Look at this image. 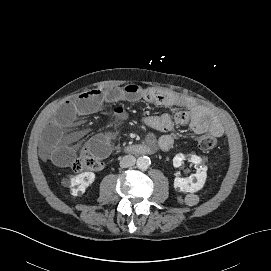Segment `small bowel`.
Segmentation results:
<instances>
[{
    "label": "small bowel",
    "instance_id": "1",
    "mask_svg": "<svg viewBox=\"0 0 271 271\" xmlns=\"http://www.w3.org/2000/svg\"><path fill=\"white\" fill-rule=\"evenodd\" d=\"M140 99L168 108L183 109L175 114L166 112L159 116H149L143 119L148 127L164 133L158 141L163 151L170 150L178 138V133L174 131L175 125H188L196 134L210 132L218 137L223 133L222 125L212 111L198 104L194 98L156 87L129 84L111 90H88L82 92L74 100L61 105L53 120L45 128L41 147L42 156L55 165L67 166L75 156V148L71 145L73 136L65 133L66 127L72 125L78 117L92 114L104 105H110L113 114L123 119L124 109L118 103ZM114 136L113 132L98 134L89 141V147L98 156L106 157L111 151Z\"/></svg>",
    "mask_w": 271,
    "mask_h": 271
}]
</instances>
